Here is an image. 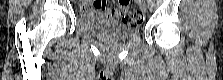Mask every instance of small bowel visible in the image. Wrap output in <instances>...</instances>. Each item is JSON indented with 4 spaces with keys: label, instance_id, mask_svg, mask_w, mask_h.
<instances>
[{
    "label": "small bowel",
    "instance_id": "small-bowel-1",
    "mask_svg": "<svg viewBox=\"0 0 223 80\" xmlns=\"http://www.w3.org/2000/svg\"><path fill=\"white\" fill-rule=\"evenodd\" d=\"M81 12L84 15L92 17H103L106 19H117L121 16V12L115 4L110 7L107 3L95 2L94 4L85 3L81 7Z\"/></svg>",
    "mask_w": 223,
    "mask_h": 80
}]
</instances>
